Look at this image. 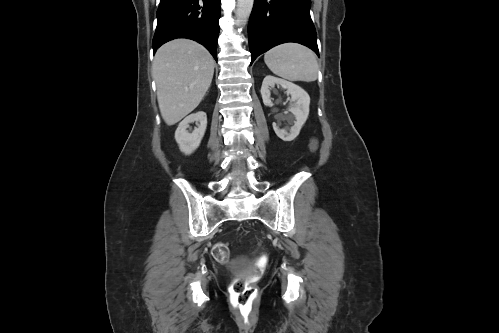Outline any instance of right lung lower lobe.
<instances>
[{
  "label": "right lung lower lobe",
  "mask_w": 499,
  "mask_h": 333,
  "mask_svg": "<svg viewBox=\"0 0 499 333\" xmlns=\"http://www.w3.org/2000/svg\"><path fill=\"white\" fill-rule=\"evenodd\" d=\"M220 0H160L154 53L164 43L189 38L205 46L217 60Z\"/></svg>",
  "instance_id": "right-lung-lower-lobe-1"
}]
</instances>
